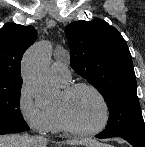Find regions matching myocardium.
<instances>
[{
    "instance_id": "1",
    "label": "myocardium",
    "mask_w": 145,
    "mask_h": 147,
    "mask_svg": "<svg viewBox=\"0 0 145 147\" xmlns=\"http://www.w3.org/2000/svg\"><path fill=\"white\" fill-rule=\"evenodd\" d=\"M80 89H88V90L92 91L97 96V98L100 100V102L103 106V110H104V118L99 126L93 128V129H89V130L78 129V128L74 127L67 120V118L61 108L55 107L54 110L56 112L60 126L62 127V129L64 131H66L72 135H75V136L89 137V136H93V135H96V134L102 132L108 126V124L110 122V118H111V109H110L109 103H108L107 99L105 98V96L103 95V93L96 86H94L90 83L81 82V83H75V84L69 85L64 89L63 94L66 97H69Z\"/></svg>"
}]
</instances>
